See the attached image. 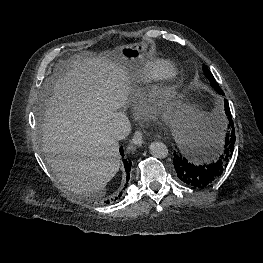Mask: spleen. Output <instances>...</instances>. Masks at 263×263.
<instances>
[{"label":"spleen","mask_w":263,"mask_h":263,"mask_svg":"<svg viewBox=\"0 0 263 263\" xmlns=\"http://www.w3.org/2000/svg\"><path fill=\"white\" fill-rule=\"evenodd\" d=\"M224 123L221 121L202 123H184L176 126L178 142L191 150L206 153V149L216 148L222 142Z\"/></svg>","instance_id":"1"}]
</instances>
